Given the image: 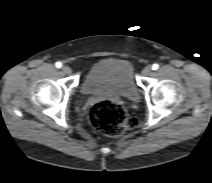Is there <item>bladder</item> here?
Masks as SVG:
<instances>
[{
  "label": "bladder",
  "mask_w": 212,
  "mask_h": 183,
  "mask_svg": "<svg viewBox=\"0 0 212 183\" xmlns=\"http://www.w3.org/2000/svg\"><path fill=\"white\" fill-rule=\"evenodd\" d=\"M81 91L86 95L110 94L131 100L138 97L132 66L119 58H105L93 64L84 76Z\"/></svg>",
  "instance_id": "obj_1"
}]
</instances>
